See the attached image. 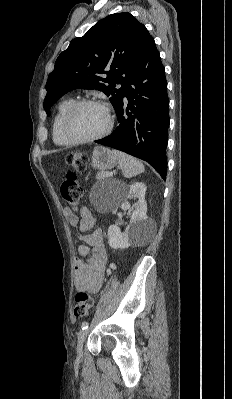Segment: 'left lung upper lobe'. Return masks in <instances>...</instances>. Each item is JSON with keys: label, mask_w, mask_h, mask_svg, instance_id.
I'll use <instances>...</instances> for the list:
<instances>
[{"label": "left lung upper lobe", "mask_w": 232, "mask_h": 399, "mask_svg": "<svg viewBox=\"0 0 232 399\" xmlns=\"http://www.w3.org/2000/svg\"><path fill=\"white\" fill-rule=\"evenodd\" d=\"M152 39L146 27L128 12L99 20L84 36L73 39L57 58L46 83L47 115L50 116L53 103L76 88L104 92L111 96L109 100L117 110L127 80ZM104 73L106 78L102 77ZM116 84H121V88L116 89Z\"/></svg>", "instance_id": "obj_1"}]
</instances>
